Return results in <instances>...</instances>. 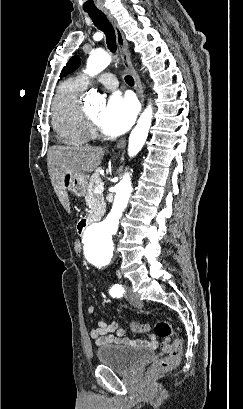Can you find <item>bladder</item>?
Listing matches in <instances>:
<instances>
[{"label": "bladder", "instance_id": "bladder-1", "mask_svg": "<svg viewBox=\"0 0 243 409\" xmlns=\"http://www.w3.org/2000/svg\"><path fill=\"white\" fill-rule=\"evenodd\" d=\"M97 359L100 364L118 372H128L140 362L150 358L152 351L128 345H103L97 349Z\"/></svg>", "mask_w": 243, "mask_h": 409}]
</instances>
